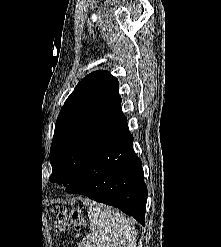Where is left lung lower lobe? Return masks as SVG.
<instances>
[{
    "instance_id": "left-lung-lower-lobe-1",
    "label": "left lung lower lobe",
    "mask_w": 221,
    "mask_h": 247,
    "mask_svg": "<svg viewBox=\"0 0 221 247\" xmlns=\"http://www.w3.org/2000/svg\"><path fill=\"white\" fill-rule=\"evenodd\" d=\"M127 119L108 127L67 192L121 209L145 224L147 187L141 160L133 151Z\"/></svg>"
}]
</instances>
